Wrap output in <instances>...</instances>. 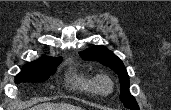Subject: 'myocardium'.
Here are the masks:
<instances>
[{
  "mask_svg": "<svg viewBox=\"0 0 171 110\" xmlns=\"http://www.w3.org/2000/svg\"><path fill=\"white\" fill-rule=\"evenodd\" d=\"M95 91L103 96H107L113 92V82L106 75H99L94 80Z\"/></svg>",
  "mask_w": 171,
  "mask_h": 110,
  "instance_id": "f54148a6",
  "label": "myocardium"
}]
</instances>
